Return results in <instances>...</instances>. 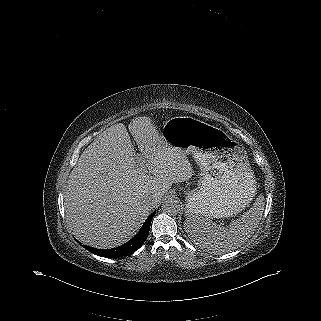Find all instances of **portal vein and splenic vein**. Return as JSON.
<instances>
[{
	"instance_id": "portal-vein-and-splenic-vein-1",
	"label": "portal vein and splenic vein",
	"mask_w": 321,
	"mask_h": 321,
	"mask_svg": "<svg viewBox=\"0 0 321 321\" xmlns=\"http://www.w3.org/2000/svg\"><path fill=\"white\" fill-rule=\"evenodd\" d=\"M140 167H141V168H144V167H145V165H144L143 162L140 163Z\"/></svg>"
}]
</instances>
